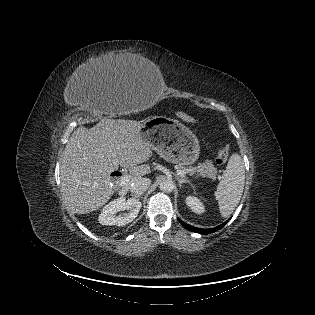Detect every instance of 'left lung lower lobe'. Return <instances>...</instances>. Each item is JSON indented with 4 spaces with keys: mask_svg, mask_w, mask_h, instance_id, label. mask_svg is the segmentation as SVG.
Segmentation results:
<instances>
[{
    "mask_svg": "<svg viewBox=\"0 0 315 315\" xmlns=\"http://www.w3.org/2000/svg\"><path fill=\"white\" fill-rule=\"evenodd\" d=\"M179 221L189 231L197 232L199 234H210V233H213V232L221 229L222 227H224V225L228 222V221H226V222L222 223L221 225H219L217 227H214V228H211V229H200V228L193 227V226H191L189 224H186L183 221H181L180 219H179Z\"/></svg>",
    "mask_w": 315,
    "mask_h": 315,
    "instance_id": "1",
    "label": "left lung lower lobe"
}]
</instances>
